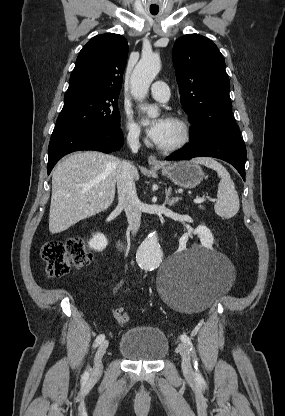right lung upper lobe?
I'll return each mask as SVG.
<instances>
[{
  "label": "right lung upper lobe",
  "instance_id": "cb5924a9",
  "mask_svg": "<svg viewBox=\"0 0 285 416\" xmlns=\"http://www.w3.org/2000/svg\"><path fill=\"white\" fill-rule=\"evenodd\" d=\"M127 55L128 44L123 36H95L80 51L65 95L119 96Z\"/></svg>",
  "mask_w": 285,
  "mask_h": 416
}]
</instances>
